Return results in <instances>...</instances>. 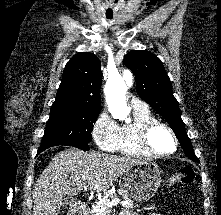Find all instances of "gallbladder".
<instances>
[{
    "instance_id": "1",
    "label": "gallbladder",
    "mask_w": 221,
    "mask_h": 215,
    "mask_svg": "<svg viewBox=\"0 0 221 215\" xmlns=\"http://www.w3.org/2000/svg\"><path fill=\"white\" fill-rule=\"evenodd\" d=\"M73 201L72 198L66 197L65 200L63 201V206L70 204Z\"/></svg>"
}]
</instances>
